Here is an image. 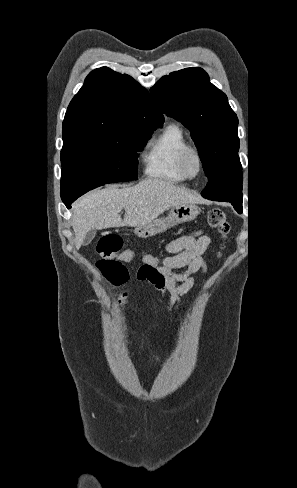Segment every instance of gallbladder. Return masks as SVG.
<instances>
[{
    "label": "gallbladder",
    "instance_id": "obj_1",
    "mask_svg": "<svg viewBox=\"0 0 297 488\" xmlns=\"http://www.w3.org/2000/svg\"><path fill=\"white\" fill-rule=\"evenodd\" d=\"M96 235V230L95 229H90L87 234H86V237L84 239V245H88L90 244V242L93 240V238L95 237Z\"/></svg>",
    "mask_w": 297,
    "mask_h": 488
}]
</instances>
